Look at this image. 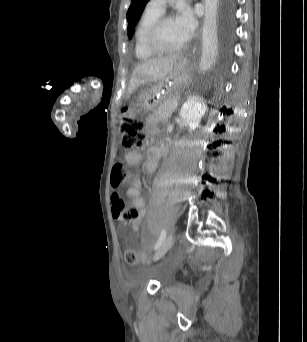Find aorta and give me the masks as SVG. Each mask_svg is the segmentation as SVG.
I'll use <instances>...</instances> for the list:
<instances>
[{"instance_id":"1","label":"aorta","mask_w":307,"mask_h":342,"mask_svg":"<svg viewBox=\"0 0 307 342\" xmlns=\"http://www.w3.org/2000/svg\"><path fill=\"white\" fill-rule=\"evenodd\" d=\"M219 0H204L205 14L202 32V54L200 70L211 68L218 54L217 16Z\"/></svg>"}]
</instances>
